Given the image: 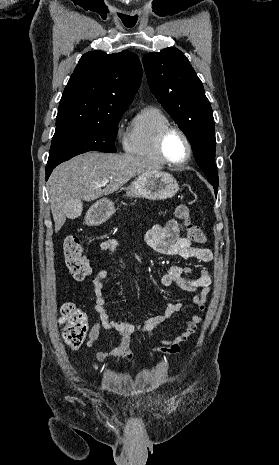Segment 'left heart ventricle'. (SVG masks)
I'll return each mask as SVG.
<instances>
[{"mask_svg": "<svg viewBox=\"0 0 279 465\" xmlns=\"http://www.w3.org/2000/svg\"><path fill=\"white\" fill-rule=\"evenodd\" d=\"M165 153L167 157L174 161L180 162L187 155V146L182 136L177 132L170 133L165 141Z\"/></svg>", "mask_w": 279, "mask_h": 465, "instance_id": "b2bd125f", "label": "left heart ventricle"}]
</instances>
